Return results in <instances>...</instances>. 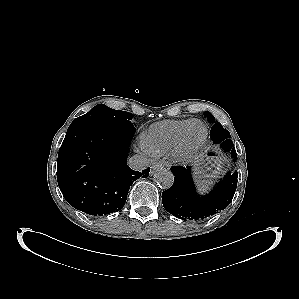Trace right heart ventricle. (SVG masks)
<instances>
[{
	"label": "right heart ventricle",
	"mask_w": 299,
	"mask_h": 299,
	"mask_svg": "<svg viewBox=\"0 0 299 299\" xmlns=\"http://www.w3.org/2000/svg\"><path fill=\"white\" fill-rule=\"evenodd\" d=\"M190 120H171L153 124L142 139L153 155L169 152Z\"/></svg>",
	"instance_id": "right-heart-ventricle-1"
}]
</instances>
